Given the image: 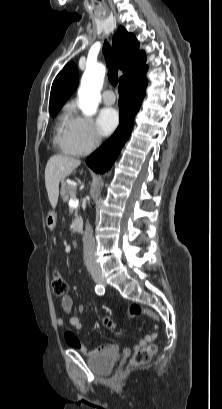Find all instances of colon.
I'll return each mask as SVG.
<instances>
[{
	"label": "colon",
	"mask_w": 222,
	"mask_h": 409,
	"mask_svg": "<svg viewBox=\"0 0 222 409\" xmlns=\"http://www.w3.org/2000/svg\"><path fill=\"white\" fill-rule=\"evenodd\" d=\"M50 284H51L52 292L55 296L63 297L66 295L68 291V285L65 279L62 277V275L59 272L55 271L53 273ZM142 314H145L151 317H155V315L151 311L145 310L137 304H132L129 306L128 308L129 317L139 316ZM155 351H156V346L153 344L143 346L133 355L132 364L133 365L146 364L147 362L150 361Z\"/></svg>",
	"instance_id": "colon-1"
}]
</instances>
